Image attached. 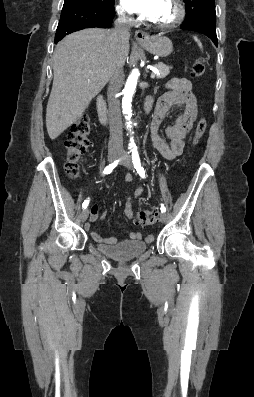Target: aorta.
<instances>
[{
    "label": "aorta",
    "instance_id": "1",
    "mask_svg": "<svg viewBox=\"0 0 254 397\" xmlns=\"http://www.w3.org/2000/svg\"><path fill=\"white\" fill-rule=\"evenodd\" d=\"M138 76H139L138 70L134 69L130 74V76L128 77L125 88L123 90L122 109H123V113L125 114V118L129 121L127 122L128 128H131V121H130L132 116L131 102H132V96L136 89ZM130 145H134L133 138H131Z\"/></svg>",
    "mask_w": 254,
    "mask_h": 397
}]
</instances>
